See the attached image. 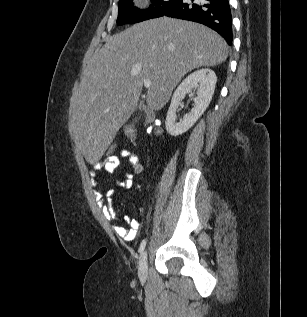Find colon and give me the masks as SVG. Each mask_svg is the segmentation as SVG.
<instances>
[{"mask_svg":"<svg viewBox=\"0 0 307 317\" xmlns=\"http://www.w3.org/2000/svg\"><path fill=\"white\" fill-rule=\"evenodd\" d=\"M146 132L150 136H160L163 133V121L162 120H155V121H148L145 120L143 123ZM125 135L128 137L131 143L135 144L137 139V133L135 126L133 124H128L125 126ZM123 149L118 144H110L105 150L104 159H111L114 157L119 156L120 152Z\"/></svg>","mask_w":307,"mask_h":317,"instance_id":"5ec220e1","label":"colon"}]
</instances>
